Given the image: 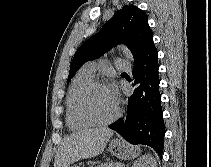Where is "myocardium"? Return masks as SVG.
Wrapping results in <instances>:
<instances>
[{"label": "myocardium", "mask_w": 211, "mask_h": 167, "mask_svg": "<svg viewBox=\"0 0 211 167\" xmlns=\"http://www.w3.org/2000/svg\"><path fill=\"white\" fill-rule=\"evenodd\" d=\"M98 87H103V88H108V86L106 85V83H104L101 80H92L88 85H86L84 87V89L81 91L79 97H78V101H77V111L79 113V115L88 123H90L91 125L94 126H106L111 124L112 122H114L119 114H120V109H119V105L116 102V109L114 114L106 119V120H98L96 118H94L87 110L86 108V100L88 95L96 88Z\"/></svg>", "instance_id": "f54148a6"}]
</instances>
